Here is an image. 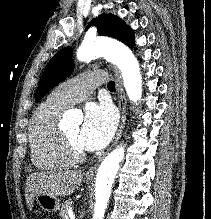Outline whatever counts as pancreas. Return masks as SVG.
<instances>
[{
	"mask_svg": "<svg viewBox=\"0 0 211 219\" xmlns=\"http://www.w3.org/2000/svg\"><path fill=\"white\" fill-rule=\"evenodd\" d=\"M72 204V201L71 200H66L64 202V204H62L61 208H60V211H59V216L62 218V219H65V217L67 216L68 214V210H69V207L70 205Z\"/></svg>",
	"mask_w": 211,
	"mask_h": 219,
	"instance_id": "pancreas-1",
	"label": "pancreas"
}]
</instances>
